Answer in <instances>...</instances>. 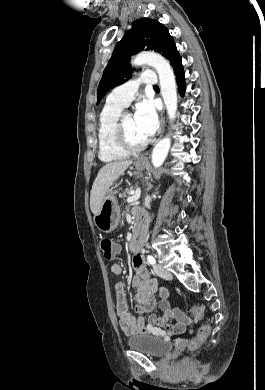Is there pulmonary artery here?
<instances>
[{
  "label": "pulmonary artery",
  "instance_id": "pulmonary-artery-1",
  "mask_svg": "<svg viewBox=\"0 0 265 390\" xmlns=\"http://www.w3.org/2000/svg\"><path fill=\"white\" fill-rule=\"evenodd\" d=\"M155 85L157 76L153 70H147L138 78L132 79L115 88L107 97V102L121 107H127L134 99L140 84Z\"/></svg>",
  "mask_w": 265,
  "mask_h": 390
}]
</instances>
